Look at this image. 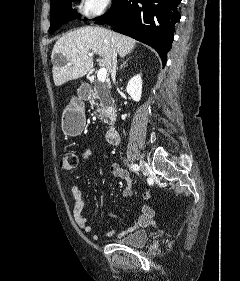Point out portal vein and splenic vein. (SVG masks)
Wrapping results in <instances>:
<instances>
[{
    "instance_id": "obj_1",
    "label": "portal vein and splenic vein",
    "mask_w": 240,
    "mask_h": 281,
    "mask_svg": "<svg viewBox=\"0 0 240 281\" xmlns=\"http://www.w3.org/2000/svg\"><path fill=\"white\" fill-rule=\"evenodd\" d=\"M90 57L93 56V53L88 54ZM107 77V70L105 68H101L97 73V79L99 82L104 83Z\"/></svg>"
}]
</instances>
